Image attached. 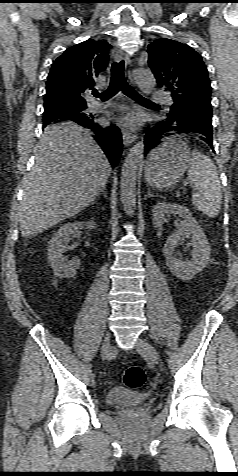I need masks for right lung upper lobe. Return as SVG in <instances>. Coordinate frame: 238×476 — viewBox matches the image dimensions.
<instances>
[{
  "mask_svg": "<svg viewBox=\"0 0 238 476\" xmlns=\"http://www.w3.org/2000/svg\"><path fill=\"white\" fill-rule=\"evenodd\" d=\"M110 48L107 41L92 39L69 47L51 67L45 103L86 105L84 95L93 89L99 73L106 69Z\"/></svg>",
  "mask_w": 238,
  "mask_h": 476,
  "instance_id": "right-lung-upper-lobe-1",
  "label": "right lung upper lobe"
}]
</instances>
